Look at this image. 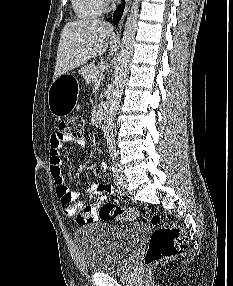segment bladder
I'll return each instance as SVG.
<instances>
[{"instance_id":"1","label":"bladder","mask_w":233,"mask_h":286,"mask_svg":"<svg viewBox=\"0 0 233 286\" xmlns=\"http://www.w3.org/2000/svg\"><path fill=\"white\" fill-rule=\"evenodd\" d=\"M146 228L141 223H93L79 227L75 241L89 271L108 273L125 268L141 244Z\"/></svg>"}]
</instances>
